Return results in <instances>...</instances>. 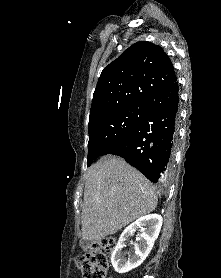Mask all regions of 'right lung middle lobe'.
<instances>
[{
  "label": "right lung middle lobe",
  "instance_id": "obj_1",
  "mask_svg": "<svg viewBox=\"0 0 221 278\" xmlns=\"http://www.w3.org/2000/svg\"><path fill=\"white\" fill-rule=\"evenodd\" d=\"M146 112V101H137L89 120L88 166L110 144L128 134Z\"/></svg>",
  "mask_w": 221,
  "mask_h": 278
}]
</instances>
